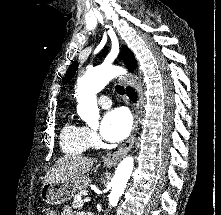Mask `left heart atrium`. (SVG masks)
I'll return each instance as SVG.
<instances>
[{
	"label": "left heart atrium",
	"instance_id": "39dd6f15",
	"mask_svg": "<svg viewBox=\"0 0 221 215\" xmlns=\"http://www.w3.org/2000/svg\"><path fill=\"white\" fill-rule=\"evenodd\" d=\"M131 118L123 108L107 112L100 126L101 136L109 142H119L130 132Z\"/></svg>",
	"mask_w": 221,
	"mask_h": 215
}]
</instances>
